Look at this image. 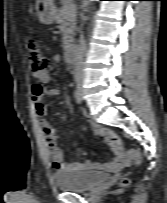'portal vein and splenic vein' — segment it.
Listing matches in <instances>:
<instances>
[{
	"label": "portal vein and splenic vein",
	"instance_id": "1",
	"mask_svg": "<svg viewBox=\"0 0 167 203\" xmlns=\"http://www.w3.org/2000/svg\"><path fill=\"white\" fill-rule=\"evenodd\" d=\"M65 10H66L67 12H75V5H73V4H68V5L66 6Z\"/></svg>",
	"mask_w": 167,
	"mask_h": 203
}]
</instances>
